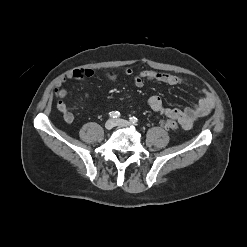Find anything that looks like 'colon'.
<instances>
[{
	"instance_id": "colon-1",
	"label": "colon",
	"mask_w": 247,
	"mask_h": 247,
	"mask_svg": "<svg viewBox=\"0 0 247 247\" xmlns=\"http://www.w3.org/2000/svg\"><path fill=\"white\" fill-rule=\"evenodd\" d=\"M162 126L166 129H177L179 127V124L176 120L173 119H166L161 122Z\"/></svg>"
}]
</instances>
